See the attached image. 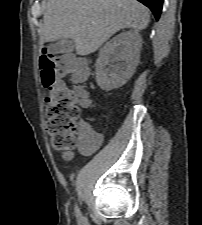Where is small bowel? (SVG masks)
<instances>
[{
    "mask_svg": "<svg viewBox=\"0 0 202 225\" xmlns=\"http://www.w3.org/2000/svg\"><path fill=\"white\" fill-rule=\"evenodd\" d=\"M79 95H80V98H81L82 107H84V108L91 107L92 103H91V99L89 97L88 91L85 90V89H80ZM81 126L84 127V128L88 127V128L91 129V134L89 135L90 146L87 147V148H81V150H80L83 154L88 155V154H91V153L97 151L98 149H100L104 145L105 137L101 132L94 129V126L90 121L83 120L81 122Z\"/></svg>",
    "mask_w": 202,
    "mask_h": 225,
    "instance_id": "c3829d8e",
    "label": "small bowel"
}]
</instances>
